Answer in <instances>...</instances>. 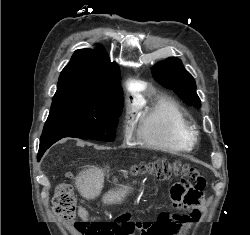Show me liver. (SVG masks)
<instances>
[{
  "instance_id": "1",
  "label": "liver",
  "mask_w": 250,
  "mask_h": 235,
  "mask_svg": "<svg viewBox=\"0 0 250 235\" xmlns=\"http://www.w3.org/2000/svg\"><path fill=\"white\" fill-rule=\"evenodd\" d=\"M105 170L95 166L83 170L75 178V185L79 193L86 199H94L99 195L104 184ZM131 187L120 185L115 190H109L103 197L105 203H120L129 193Z\"/></svg>"
}]
</instances>
